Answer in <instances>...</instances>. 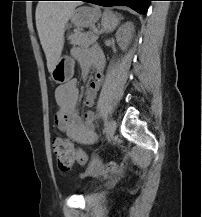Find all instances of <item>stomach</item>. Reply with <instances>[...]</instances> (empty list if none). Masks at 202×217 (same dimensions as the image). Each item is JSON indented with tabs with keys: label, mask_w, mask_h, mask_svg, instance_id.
<instances>
[{
	"label": "stomach",
	"mask_w": 202,
	"mask_h": 217,
	"mask_svg": "<svg viewBox=\"0 0 202 217\" xmlns=\"http://www.w3.org/2000/svg\"><path fill=\"white\" fill-rule=\"evenodd\" d=\"M100 18V12L93 7H79L73 11L71 22L78 28L92 27ZM74 72V63L69 57H61L51 72L52 79L63 84L69 81Z\"/></svg>",
	"instance_id": "1"
}]
</instances>
